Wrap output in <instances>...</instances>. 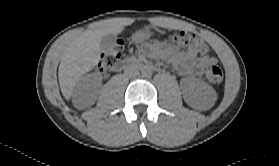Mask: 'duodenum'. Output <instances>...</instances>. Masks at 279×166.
Returning a JSON list of instances; mask_svg holds the SVG:
<instances>
[{
  "label": "duodenum",
  "instance_id": "1",
  "mask_svg": "<svg viewBox=\"0 0 279 166\" xmlns=\"http://www.w3.org/2000/svg\"><path fill=\"white\" fill-rule=\"evenodd\" d=\"M128 67L151 68L149 64L142 60L136 61H120L114 66L115 71H121Z\"/></svg>",
  "mask_w": 279,
  "mask_h": 166
}]
</instances>
